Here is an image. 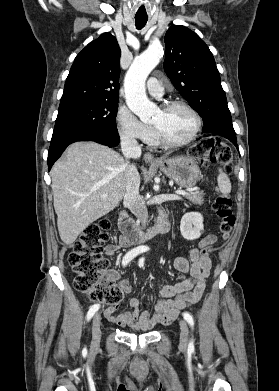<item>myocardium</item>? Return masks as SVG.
Returning <instances> with one entry per match:
<instances>
[{"instance_id":"1","label":"myocardium","mask_w":279,"mask_h":391,"mask_svg":"<svg viewBox=\"0 0 279 391\" xmlns=\"http://www.w3.org/2000/svg\"><path fill=\"white\" fill-rule=\"evenodd\" d=\"M174 107H183V108L187 109L193 115V117L195 119V127H194V130L192 131V133L186 139H184L182 141H171L164 135V133L162 132V130L159 127H157L156 125H152L153 130H154V134H155V137H156L158 143H160L162 146L167 147V148H179V147H183V146L189 144L190 142H192L196 138L197 134L200 132L201 127H202V118H201L200 114L197 112V110L193 106H191L186 101H183V100L167 101L161 106V110L168 111Z\"/></svg>"}]
</instances>
